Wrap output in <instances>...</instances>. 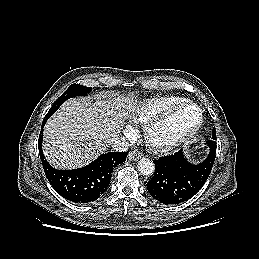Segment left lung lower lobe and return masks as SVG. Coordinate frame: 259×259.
Listing matches in <instances>:
<instances>
[{"mask_svg": "<svg viewBox=\"0 0 259 259\" xmlns=\"http://www.w3.org/2000/svg\"><path fill=\"white\" fill-rule=\"evenodd\" d=\"M209 154L200 164L187 161L182 150L155 160V173L147 183L152 197L163 204H178L192 198L205 184L216 156V144H208Z\"/></svg>", "mask_w": 259, "mask_h": 259, "instance_id": "1", "label": "left lung lower lobe"}]
</instances>
